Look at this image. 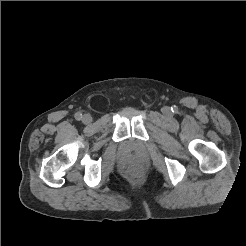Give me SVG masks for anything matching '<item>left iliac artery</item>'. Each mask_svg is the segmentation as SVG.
<instances>
[{"label": "left iliac artery", "mask_w": 246, "mask_h": 246, "mask_svg": "<svg viewBox=\"0 0 246 246\" xmlns=\"http://www.w3.org/2000/svg\"><path fill=\"white\" fill-rule=\"evenodd\" d=\"M171 110H172L173 113H177V111H178V109H177L176 106H174L173 108H171Z\"/></svg>", "instance_id": "1"}]
</instances>
